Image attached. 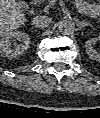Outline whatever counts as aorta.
I'll list each match as a JSON object with an SVG mask.
<instances>
[{
    "instance_id": "1",
    "label": "aorta",
    "mask_w": 100,
    "mask_h": 118,
    "mask_svg": "<svg viewBox=\"0 0 100 118\" xmlns=\"http://www.w3.org/2000/svg\"><path fill=\"white\" fill-rule=\"evenodd\" d=\"M75 23L71 18L65 17L58 22V31L64 35H70L74 32Z\"/></svg>"
}]
</instances>
